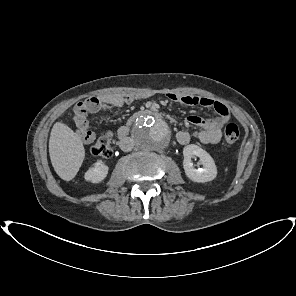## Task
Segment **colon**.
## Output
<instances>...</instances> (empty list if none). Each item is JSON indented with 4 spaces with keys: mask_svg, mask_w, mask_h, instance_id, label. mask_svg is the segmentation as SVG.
<instances>
[{
    "mask_svg": "<svg viewBox=\"0 0 296 296\" xmlns=\"http://www.w3.org/2000/svg\"><path fill=\"white\" fill-rule=\"evenodd\" d=\"M84 108H79L78 112H84ZM240 135L239 127L237 124L231 122L228 123L224 130L225 141L228 144L235 143ZM91 152L94 156L101 158H109L112 156L113 149L111 143L106 135L99 137V139L95 142V144L91 148Z\"/></svg>",
    "mask_w": 296,
    "mask_h": 296,
    "instance_id": "colon-1",
    "label": "colon"
}]
</instances>
